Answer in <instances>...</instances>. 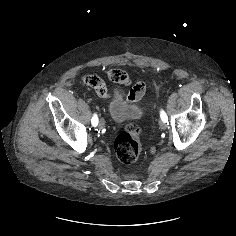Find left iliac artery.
Instances as JSON below:
<instances>
[{
	"mask_svg": "<svg viewBox=\"0 0 236 236\" xmlns=\"http://www.w3.org/2000/svg\"><path fill=\"white\" fill-rule=\"evenodd\" d=\"M160 117H161L162 121L168 122V117H167L166 113L163 110L160 111Z\"/></svg>",
	"mask_w": 236,
	"mask_h": 236,
	"instance_id": "1",
	"label": "left iliac artery"
}]
</instances>
